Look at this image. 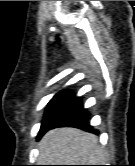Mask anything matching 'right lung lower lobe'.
<instances>
[{"label":"right lung lower lobe","mask_w":135,"mask_h":166,"mask_svg":"<svg viewBox=\"0 0 135 166\" xmlns=\"http://www.w3.org/2000/svg\"><path fill=\"white\" fill-rule=\"evenodd\" d=\"M57 127H75L88 132L96 131L89 124V114L83 108L79 98H72L67 110L53 123L43 128L39 132V138L48 130Z\"/></svg>","instance_id":"right-lung-lower-lobe-1"}]
</instances>
